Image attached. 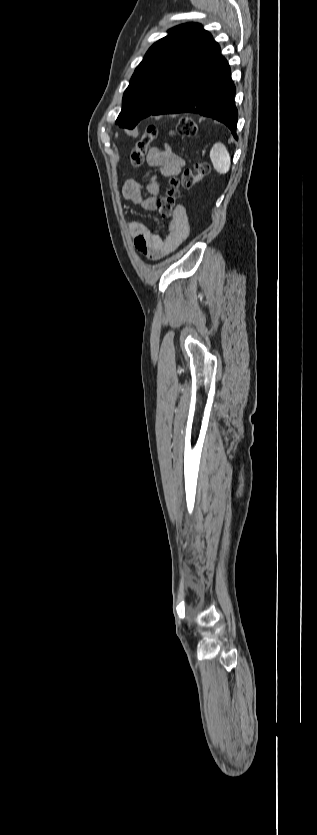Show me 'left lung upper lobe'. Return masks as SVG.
Returning a JSON list of instances; mask_svg holds the SVG:
<instances>
[{
  "label": "left lung upper lobe",
  "mask_w": 317,
  "mask_h": 835,
  "mask_svg": "<svg viewBox=\"0 0 317 835\" xmlns=\"http://www.w3.org/2000/svg\"><path fill=\"white\" fill-rule=\"evenodd\" d=\"M147 51L123 95L116 124L133 129L171 94L187 67L210 44L212 35L200 24L174 27Z\"/></svg>",
  "instance_id": "obj_1"
}]
</instances>
